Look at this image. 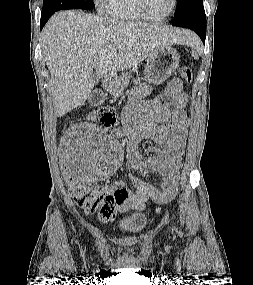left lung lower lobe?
Wrapping results in <instances>:
<instances>
[{"mask_svg":"<svg viewBox=\"0 0 253 285\" xmlns=\"http://www.w3.org/2000/svg\"><path fill=\"white\" fill-rule=\"evenodd\" d=\"M172 25L192 29L199 35L203 43H205L206 16L203 3L192 7L188 12L175 19Z\"/></svg>","mask_w":253,"mask_h":285,"instance_id":"1","label":"left lung lower lobe"}]
</instances>
